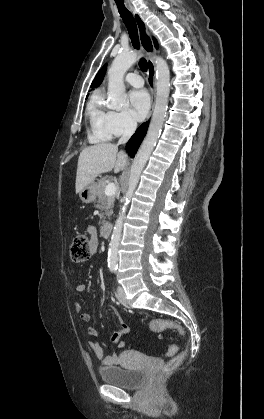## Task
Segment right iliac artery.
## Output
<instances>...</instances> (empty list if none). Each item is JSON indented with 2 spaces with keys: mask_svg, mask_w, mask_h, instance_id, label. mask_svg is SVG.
I'll return each mask as SVG.
<instances>
[{
  "mask_svg": "<svg viewBox=\"0 0 264 419\" xmlns=\"http://www.w3.org/2000/svg\"><path fill=\"white\" fill-rule=\"evenodd\" d=\"M115 270V268H111V271H114Z\"/></svg>",
  "mask_w": 264,
  "mask_h": 419,
  "instance_id": "right-iliac-artery-1",
  "label": "right iliac artery"
}]
</instances>
